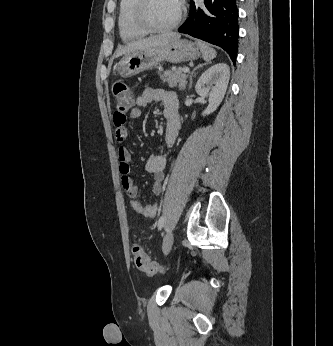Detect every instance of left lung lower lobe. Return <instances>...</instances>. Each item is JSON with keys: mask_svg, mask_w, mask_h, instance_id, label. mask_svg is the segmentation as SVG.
Instances as JSON below:
<instances>
[{"mask_svg": "<svg viewBox=\"0 0 333 346\" xmlns=\"http://www.w3.org/2000/svg\"><path fill=\"white\" fill-rule=\"evenodd\" d=\"M190 1L189 17L178 32L223 48L235 63L239 37L236 0Z\"/></svg>", "mask_w": 333, "mask_h": 346, "instance_id": "obj_1", "label": "left lung lower lobe"}]
</instances>
